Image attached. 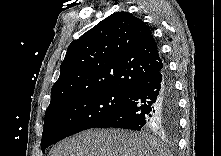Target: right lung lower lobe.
I'll use <instances>...</instances> for the list:
<instances>
[{
  "instance_id": "98d812e1",
  "label": "right lung lower lobe",
  "mask_w": 221,
  "mask_h": 156,
  "mask_svg": "<svg viewBox=\"0 0 221 156\" xmlns=\"http://www.w3.org/2000/svg\"><path fill=\"white\" fill-rule=\"evenodd\" d=\"M178 97L166 67L138 82L129 92L126 102L108 118L93 128H124L141 130L178 126Z\"/></svg>"
}]
</instances>
